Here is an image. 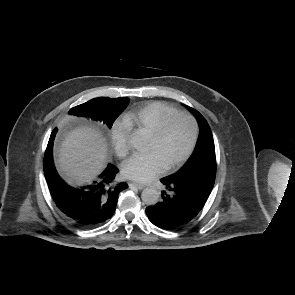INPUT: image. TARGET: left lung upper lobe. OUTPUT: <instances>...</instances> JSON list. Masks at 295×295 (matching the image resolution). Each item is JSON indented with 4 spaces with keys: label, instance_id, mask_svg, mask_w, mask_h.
I'll return each instance as SVG.
<instances>
[{
    "label": "left lung upper lobe",
    "instance_id": "1",
    "mask_svg": "<svg viewBox=\"0 0 295 295\" xmlns=\"http://www.w3.org/2000/svg\"><path fill=\"white\" fill-rule=\"evenodd\" d=\"M199 122V137L193 154L186 165L173 174L176 177L185 176L192 172H202L206 168L216 171L215 146L211 129L204 117L192 109Z\"/></svg>",
    "mask_w": 295,
    "mask_h": 295
}]
</instances>
